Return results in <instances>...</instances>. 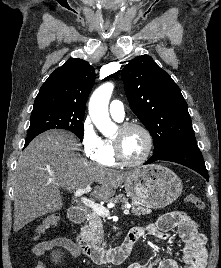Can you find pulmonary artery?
Segmentation results:
<instances>
[{"label":"pulmonary artery","instance_id":"1","mask_svg":"<svg viewBox=\"0 0 221 268\" xmlns=\"http://www.w3.org/2000/svg\"><path fill=\"white\" fill-rule=\"evenodd\" d=\"M109 113L113 119L122 121L125 117V110L122 102L113 100L109 105Z\"/></svg>","mask_w":221,"mask_h":268}]
</instances>
